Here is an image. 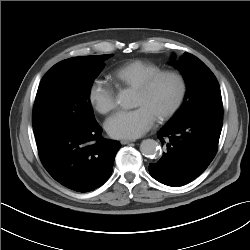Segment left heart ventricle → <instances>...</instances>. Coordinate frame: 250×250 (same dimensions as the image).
<instances>
[{"instance_id":"obj_1","label":"left heart ventricle","mask_w":250,"mask_h":250,"mask_svg":"<svg viewBox=\"0 0 250 250\" xmlns=\"http://www.w3.org/2000/svg\"><path fill=\"white\" fill-rule=\"evenodd\" d=\"M178 84L173 78L159 79L146 95L135 92L134 106L145 107L156 119L176 98Z\"/></svg>"}]
</instances>
